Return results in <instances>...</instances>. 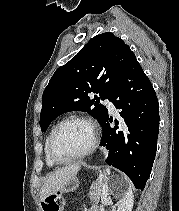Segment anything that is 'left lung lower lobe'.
<instances>
[{
    "mask_svg": "<svg viewBox=\"0 0 179 211\" xmlns=\"http://www.w3.org/2000/svg\"><path fill=\"white\" fill-rule=\"evenodd\" d=\"M110 101L120 109L122 122L102 123L101 146L109 150L106 162L124 172L143 190L150 176L159 133V104L155 90L133 54L112 91Z\"/></svg>",
    "mask_w": 179,
    "mask_h": 211,
    "instance_id": "0a47b994",
    "label": "left lung lower lobe"
}]
</instances>
